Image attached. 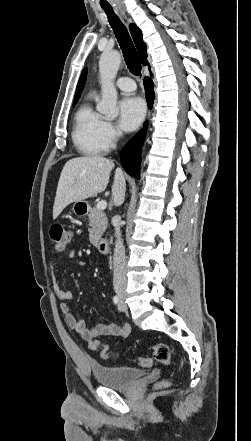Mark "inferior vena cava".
<instances>
[{
    "label": "inferior vena cava",
    "mask_w": 251,
    "mask_h": 441,
    "mask_svg": "<svg viewBox=\"0 0 251 441\" xmlns=\"http://www.w3.org/2000/svg\"><path fill=\"white\" fill-rule=\"evenodd\" d=\"M120 220L115 225V248L113 255L114 277L113 285L117 294L125 292L126 289V270H125V248L121 239Z\"/></svg>",
    "instance_id": "1"
}]
</instances>
